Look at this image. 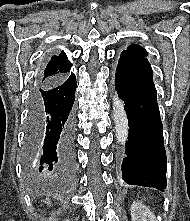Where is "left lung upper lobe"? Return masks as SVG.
<instances>
[{
    "label": "left lung upper lobe",
    "instance_id": "left-lung-upper-lobe-1",
    "mask_svg": "<svg viewBox=\"0 0 190 221\" xmlns=\"http://www.w3.org/2000/svg\"><path fill=\"white\" fill-rule=\"evenodd\" d=\"M121 54H127L136 58L147 60L145 58V56H147L146 50L136 44L129 45L128 49L123 51Z\"/></svg>",
    "mask_w": 190,
    "mask_h": 221
}]
</instances>
